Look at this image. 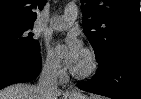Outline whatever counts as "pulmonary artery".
I'll return each instance as SVG.
<instances>
[{"label": "pulmonary artery", "instance_id": "1", "mask_svg": "<svg viewBox=\"0 0 141 99\" xmlns=\"http://www.w3.org/2000/svg\"><path fill=\"white\" fill-rule=\"evenodd\" d=\"M78 15V9L76 5H67L63 15L54 16L50 21V28L53 30H64L70 27L72 22Z\"/></svg>", "mask_w": 141, "mask_h": 99}]
</instances>
